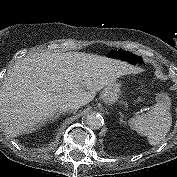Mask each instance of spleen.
Wrapping results in <instances>:
<instances>
[{
	"mask_svg": "<svg viewBox=\"0 0 177 177\" xmlns=\"http://www.w3.org/2000/svg\"><path fill=\"white\" fill-rule=\"evenodd\" d=\"M170 98L167 94H159L156 104L146 114L131 118L128 124L142 136H146L150 145L159 144L167 135L172 125Z\"/></svg>",
	"mask_w": 177,
	"mask_h": 177,
	"instance_id": "obj_1",
	"label": "spleen"
}]
</instances>
